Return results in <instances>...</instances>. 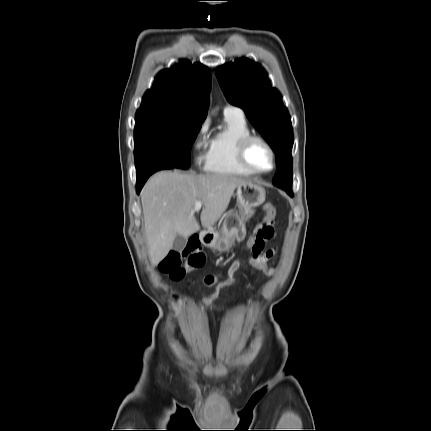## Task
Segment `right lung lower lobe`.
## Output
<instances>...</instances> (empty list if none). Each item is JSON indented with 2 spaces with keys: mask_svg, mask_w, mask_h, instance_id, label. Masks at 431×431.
<instances>
[{
  "mask_svg": "<svg viewBox=\"0 0 431 431\" xmlns=\"http://www.w3.org/2000/svg\"><path fill=\"white\" fill-rule=\"evenodd\" d=\"M162 169H169V168H165L164 164H153L151 166H149V168L141 171V172H136V179H137V193L140 192L141 188L143 187L144 183L146 182V180L148 179V177L153 174L154 172L158 171V170H162Z\"/></svg>",
  "mask_w": 431,
  "mask_h": 431,
  "instance_id": "right-lung-lower-lobe-1",
  "label": "right lung lower lobe"
}]
</instances>
